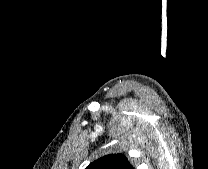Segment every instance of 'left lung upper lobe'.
<instances>
[{
  "label": "left lung upper lobe",
  "instance_id": "obj_1",
  "mask_svg": "<svg viewBox=\"0 0 208 169\" xmlns=\"http://www.w3.org/2000/svg\"><path fill=\"white\" fill-rule=\"evenodd\" d=\"M86 169H134L126 156L119 154L105 155L90 163Z\"/></svg>",
  "mask_w": 208,
  "mask_h": 169
}]
</instances>
